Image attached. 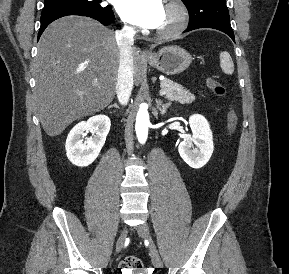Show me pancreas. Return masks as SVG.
<instances>
[{"mask_svg": "<svg viewBox=\"0 0 289 274\" xmlns=\"http://www.w3.org/2000/svg\"><path fill=\"white\" fill-rule=\"evenodd\" d=\"M161 90L166 91L165 97L170 101H178L181 104H190L195 100V96L191 94L182 85L171 81L170 79H164L160 83Z\"/></svg>", "mask_w": 289, "mask_h": 274, "instance_id": "cf45deb5", "label": "pancreas"}]
</instances>
